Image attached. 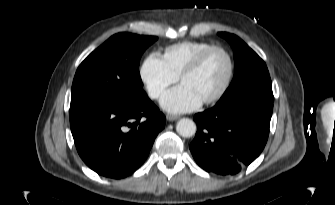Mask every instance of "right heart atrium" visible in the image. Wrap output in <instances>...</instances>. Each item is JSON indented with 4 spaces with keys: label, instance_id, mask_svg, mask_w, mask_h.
Segmentation results:
<instances>
[{
    "label": "right heart atrium",
    "instance_id": "obj_1",
    "mask_svg": "<svg viewBox=\"0 0 335 205\" xmlns=\"http://www.w3.org/2000/svg\"><path fill=\"white\" fill-rule=\"evenodd\" d=\"M139 77L148 96L160 98L168 87L177 82L176 76L156 53L146 56L139 69Z\"/></svg>",
    "mask_w": 335,
    "mask_h": 205
}]
</instances>
